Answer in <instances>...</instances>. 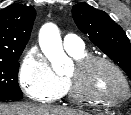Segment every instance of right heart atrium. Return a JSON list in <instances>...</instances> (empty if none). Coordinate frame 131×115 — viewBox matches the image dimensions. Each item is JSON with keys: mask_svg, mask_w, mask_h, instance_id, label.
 I'll use <instances>...</instances> for the list:
<instances>
[{"mask_svg": "<svg viewBox=\"0 0 131 115\" xmlns=\"http://www.w3.org/2000/svg\"><path fill=\"white\" fill-rule=\"evenodd\" d=\"M19 84L26 96L40 103L53 102L64 89L63 79L53 71L37 48H31L22 58Z\"/></svg>", "mask_w": 131, "mask_h": 115, "instance_id": "obj_1", "label": "right heart atrium"}]
</instances>
